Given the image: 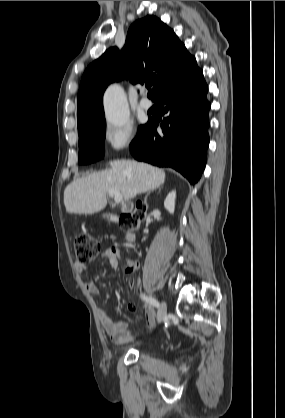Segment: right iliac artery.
Wrapping results in <instances>:
<instances>
[{"label": "right iliac artery", "instance_id": "82829eb1", "mask_svg": "<svg viewBox=\"0 0 285 418\" xmlns=\"http://www.w3.org/2000/svg\"><path fill=\"white\" fill-rule=\"evenodd\" d=\"M141 298L143 299V300H145L147 303H149L150 305H152V306H154V307H159V302L157 301V300H155L154 298H152V297H147V296H145V295H141Z\"/></svg>", "mask_w": 285, "mask_h": 418}]
</instances>
